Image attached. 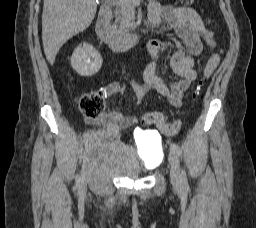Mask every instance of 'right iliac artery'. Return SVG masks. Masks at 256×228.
Wrapping results in <instances>:
<instances>
[{"label":"right iliac artery","mask_w":256,"mask_h":228,"mask_svg":"<svg viewBox=\"0 0 256 228\" xmlns=\"http://www.w3.org/2000/svg\"><path fill=\"white\" fill-rule=\"evenodd\" d=\"M90 137H91L90 133H85L84 136L82 137V140L85 141V143H86V141L89 140ZM76 179H77V183L79 184L80 183V177L77 176Z\"/></svg>","instance_id":"obj_1"}]
</instances>
